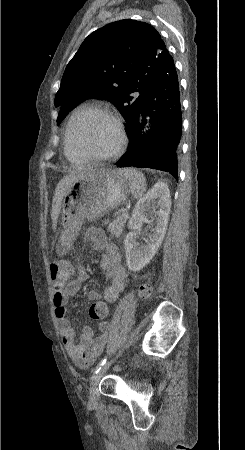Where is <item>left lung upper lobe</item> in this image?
<instances>
[{
    "instance_id": "5c2ea615",
    "label": "left lung upper lobe",
    "mask_w": 245,
    "mask_h": 450,
    "mask_svg": "<svg viewBox=\"0 0 245 450\" xmlns=\"http://www.w3.org/2000/svg\"><path fill=\"white\" fill-rule=\"evenodd\" d=\"M170 55L159 33L145 22L124 19L91 33L68 63L55 96L59 124L77 103L91 97L110 100L134 123L151 84ZM139 92L138 97L133 94Z\"/></svg>"
}]
</instances>
